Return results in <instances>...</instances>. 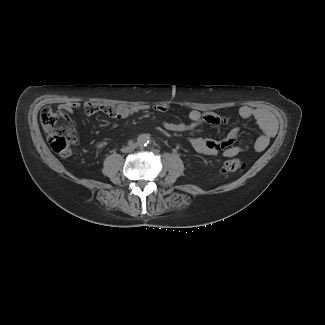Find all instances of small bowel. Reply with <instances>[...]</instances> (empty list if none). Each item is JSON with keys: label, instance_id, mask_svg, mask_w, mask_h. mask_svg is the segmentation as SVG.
Returning a JSON list of instances; mask_svg holds the SVG:
<instances>
[{"label": "small bowel", "instance_id": "obj_1", "mask_svg": "<svg viewBox=\"0 0 325 325\" xmlns=\"http://www.w3.org/2000/svg\"><path fill=\"white\" fill-rule=\"evenodd\" d=\"M78 107V103H62L58 105L57 109L61 116L64 117L65 123L73 125L76 121L73 119L74 116L72 111ZM101 109L113 119L122 120L134 114L145 111L146 107H128L124 105L111 107L102 106L95 103H86L84 105V110L87 114H94ZM154 110L158 113H167L170 110V106L166 103H159L154 106ZM238 115L244 119L255 120L260 127L262 134L256 138L252 147L255 152H262L265 150L276 131V125L272 115L262 108L251 107L248 105L240 106L238 109ZM188 118L190 120L189 123H175L165 120L162 122V127L170 132H186L195 129L201 124L225 125L228 123V119L225 117H221L210 112H201L199 110H190L188 112ZM116 126L117 125L115 123L112 124L113 128H116ZM239 134V128H233L222 138L209 139L203 137H193L190 139V144L194 150L200 153H221L224 156L232 157L244 151L242 146L236 144Z\"/></svg>", "mask_w": 325, "mask_h": 325}]
</instances>
